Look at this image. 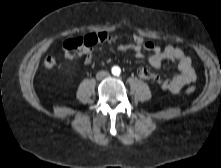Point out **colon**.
I'll return each mask as SVG.
<instances>
[{"instance_id": "5ec220e1", "label": "colon", "mask_w": 221, "mask_h": 168, "mask_svg": "<svg viewBox=\"0 0 221 168\" xmlns=\"http://www.w3.org/2000/svg\"><path fill=\"white\" fill-rule=\"evenodd\" d=\"M124 39L123 33L109 34L108 32H100L99 34H89L86 36L71 38L64 43V55L67 59H73L90 52L98 43H104L107 46L118 45ZM130 42L133 45L145 46L147 39L140 34H131ZM46 68L51 69L56 65L53 57H47L44 61ZM186 92L193 94L194 87H188Z\"/></svg>"}]
</instances>
